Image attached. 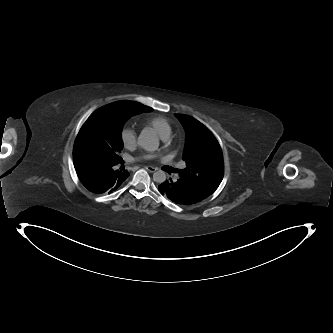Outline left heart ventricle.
<instances>
[{
    "label": "left heart ventricle",
    "instance_id": "left-heart-ventricle-1",
    "mask_svg": "<svg viewBox=\"0 0 333 333\" xmlns=\"http://www.w3.org/2000/svg\"><path fill=\"white\" fill-rule=\"evenodd\" d=\"M151 150L155 153V154H160L161 153V148H159L158 146H153L151 148Z\"/></svg>",
    "mask_w": 333,
    "mask_h": 333
}]
</instances>
